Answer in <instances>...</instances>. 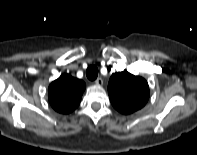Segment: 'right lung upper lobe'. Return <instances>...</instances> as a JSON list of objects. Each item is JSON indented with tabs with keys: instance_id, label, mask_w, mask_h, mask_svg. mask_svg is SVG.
<instances>
[{
	"instance_id": "cb5924a9",
	"label": "right lung upper lobe",
	"mask_w": 197,
	"mask_h": 155,
	"mask_svg": "<svg viewBox=\"0 0 197 155\" xmlns=\"http://www.w3.org/2000/svg\"><path fill=\"white\" fill-rule=\"evenodd\" d=\"M84 89L82 80L68 74L61 75L49 85V102L57 112L68 114L78 107Z\"/></svg>"
}]
</instances>
